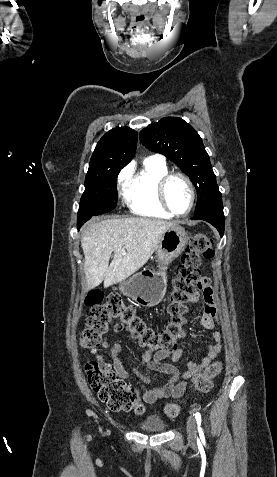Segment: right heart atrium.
Masks as SVG:
<instances>
[{"instance_id":"right-heart-atrium-1","label":"right heart atrium","mask_w":277,"mask_h":477,"mask_svg":"<svg viewBox=\"0 0 277 477\" xmlns=\"http://www.w3.org/2000/svg\"><path fill=\"white\" fill-rule=\"evenodd\" d=\"M129 180H130V168L125 167L124 169L121 170V172L118 175V186L124 195L127 194Z\"/></svg>"}]
</instances>
